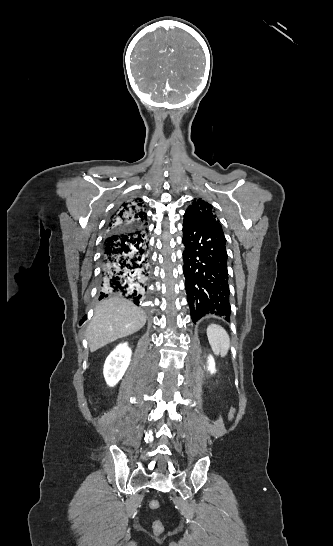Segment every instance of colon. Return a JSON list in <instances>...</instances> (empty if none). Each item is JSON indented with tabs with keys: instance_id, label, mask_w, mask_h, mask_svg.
Returning <instances> with one entry per match:
<instances>
[{
	"instance_id": "1",
	"label": "colon",
	"mask_w": 333,
	"mask_h": 546,
	"mask_svg": "<svg viewBox=\"0 0 333 546\" xmlns=\"http://www.w3.org/2000/svg\"><path fill=\"white\" fill-rule=\"evenodd\" d=\"M236 409L232 408L229 412V419L232 420L235 417ZM160 507V503L157 500H152L149 503V508L151 510H157ZM153 530L155 533H162L164 531V526L161 521H155L153 523Z\"/></svg>"
}]
</instances>
